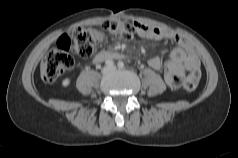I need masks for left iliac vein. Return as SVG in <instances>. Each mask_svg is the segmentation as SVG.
Wrapping results in <instances>:
<instances>
[{"label": "left iliac vein", "mask_w": 238, "mask_h": 158, "mask_svg": "<svg viewBox=\"0 0 238 158\" xmlns=\"http://www.w3.org/2000/svg\"><path fill=\"white\" fill-rule=\"evenodd\" d=\"M111 69H112V70H114V69H115V67L113 66Z\"/></svg>", "instance_id": "left-iliac-vein-1"}]
</instances>
